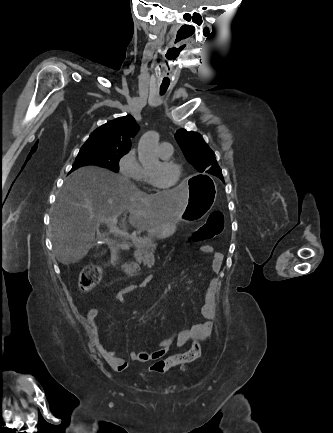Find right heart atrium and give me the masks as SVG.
I'll use <instances>...</instances> for the list:
<instances>
[{"label": "right heart atrium", "mask_w": 333, "mask_h": 433, "mask_svg": "<svg viewBox=\"0 0 333 433\" xmlns=\"http://www.w3.org/2000/svg\"><path fill=\"white\" fill-rule=\"evenodd\" d=\"M119 172L126 178L140 180L143 176V167L139 163L134 149L125 152L118 161Z\"/></svg>", "instance_id": "1"}]
</instances>
